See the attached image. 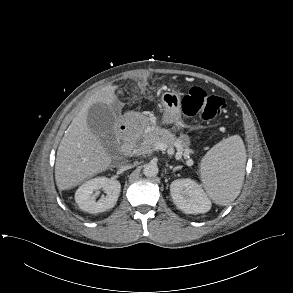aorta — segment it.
<instances>
[{
    "instance_id": "obj_1",
    "label": "aorta",
    "mask_w": 293,
    "mask_h": 293,
    "mask_svg": "<svg viewBox=\"0 0 293 293\" xmlns=\"http://www.w3.org/2000/svg\"><path fill=\"white\" fill-rule=\"evenodd\" d=\"M159 168L156 163L150 162L146 164L143 168V174L146 177H155L158 174Z\"/></svg>"
}]
</instances>
